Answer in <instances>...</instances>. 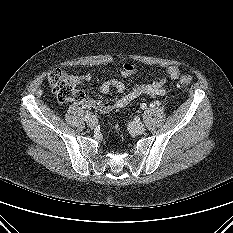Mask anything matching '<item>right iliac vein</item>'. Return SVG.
<instances>
[{
    "label": "right iliac vein",
    "instance_id": "1",
    "mask_svg": "<svg viewBox=\"0 0 233 233\" xmlns=\"http://www.w3.org/2000/svg\"><path fill=\"white\" fill-rule=\"evenodd\" d=\"M88 127L90 128H94L97 125V119L92 117L89 119V121L87 122Z\"/></svg>",
    "mask_w": 233,
    "mask_h": 233
}]
</instances>
